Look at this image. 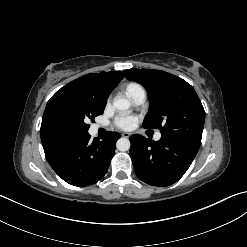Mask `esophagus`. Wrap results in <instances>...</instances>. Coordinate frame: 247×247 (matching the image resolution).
I'll return each instance as SVG.
<instances>
[{"label": "esophagus", "instance_id": "34e87169", "mask_svg": "<svg viewBox=\"0 0 247 247\" xmlns=\"http://www.w3.org/2000/svg\"><path fill=\"white\" fill-rule=\"evenodd\" d=\"M130 135H131V134H130V133H128V132H124V133H122V136H123V137H126V138L130 137Z\"/></svg>", "mask_w": 247, "mask_h": 247}]
</instances>
